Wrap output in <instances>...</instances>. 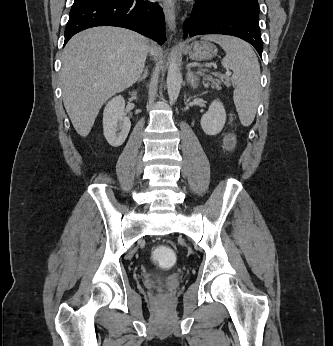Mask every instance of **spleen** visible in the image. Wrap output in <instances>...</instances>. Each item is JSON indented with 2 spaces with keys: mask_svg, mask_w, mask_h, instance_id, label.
<instances>
[{
  "mask_svg": "<svg viewBox=\"0 0 333 346\" xmlns=\"http://www.w3.org/2000/svg\"><path fill=\"white\" fill-rule=\"evenodd\" d=\"M201 39L218 43L226 52L222 65L233 71L234 103L241 123L249 126L255 118L261 91L260 66L253 49L246 42L229 36L207 35Z\"/></svg>",
  "mask_w": 333,
  "mask_h": 346,
  "instance_id": "obj_1",
  "label": "spleen"
}]
</instances>
